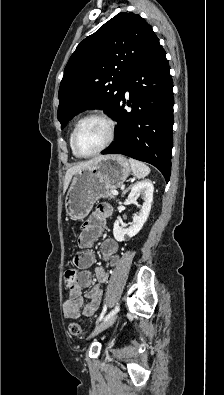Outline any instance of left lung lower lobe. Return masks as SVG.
<instances>
[{"label": "left lung lower lobe", "instance_id": "left-lung-lower-lobe-1", "mask_svg": "<svg viewBox=\"0 0 224 395\" xmlns=\"http://www.w3.org/2000/svg\"><path fill=\"white\" fill-rule=\"evenodd\" d=\"M166 53L157 40L127 78L130 93L124 109V96L112 119L117 121L115 142L102 154H124L154 165L166 181L171 172L173 147V82Z\"/></svg>", "mask_w": 224, "mask_h": 395}]
</instances>
